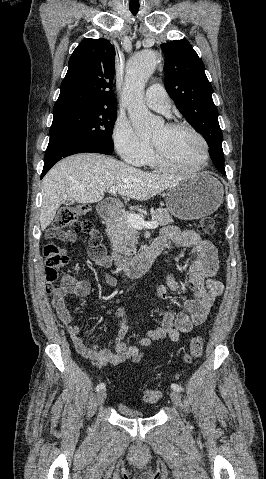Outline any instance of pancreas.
Instances as JSON below:
<instances>
[{
  "label": "pancreas",
  "instance_id": "obj_1",
  "mask_svg": "<svg viewBox=\"0 0 266 479\" xmlns=\"http://www.w3.org/2000/svg\"><path fill=\"white\" fill-rule=\"evenodd\" d=\"M130 213L117 216L108 226V237L111 241L112 250L116 253L124 255L136 254V246L138 243V231L131 226L127 221V216ZM144 218L143 215H139ZM159 223L160 226H165L173 222V218L165 209L154 211L152 219Z\"/></svg>",
  "mask_w": 266,
  "mask_h": 479
}]
</instances>
